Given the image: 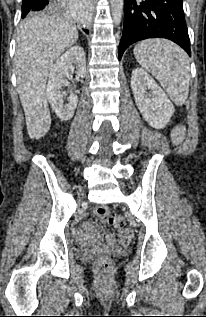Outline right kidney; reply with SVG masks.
Returning <instances> with one entry per match:
<instances>
[{"label": "right kidney", "mask_w": 206, "mask_h": 317, "mask_svg": "<svg viewBox=\"0 0 206 317\" xmlns=\"http://www.w3.org/2000/svg\"><path fill=\"white\" fill-rule=\"evenodd\" d=\"M75 71L76 78L86 75L85 52L80 46H73L57 59L49 73L46 96L56 115L64 121L70 120L75 112L78 97L71 93L64 104L62 87L67 85L66 77Z\"/></svg>", "instance_id": "obj_1"}]
</instances>
